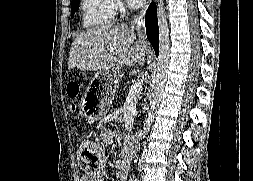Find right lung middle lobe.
<instances>
[{"label": "right lung middle lobe", "instance_id": "obj_1", "mask_svg": "<svg viewBox=\"0 0 253 181\" xmlns=\"http://www.w3.org/2000/svg\"><path fill=\"white\" fill-rule=\"evenodd\" d=\"M79 9V0H72L71 2V17H74V13Z\"/></svg>", "mask_w": 253, "mask_h": 181}]
</instances>
